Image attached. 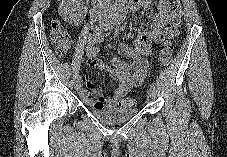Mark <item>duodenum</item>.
I'll return each instance as SVG.
<instances>
[{"instance_id": "410a0bca", "label": "duodenum", "mask_w": 227, "mask_h": 157, "mask_svg": "<svg viewBox=\"0 0 227 157\" xmlns=\"http://www.w3.org/2000/svg\"><path fill=\"white\" fill-rule=\"evenodd\" d=\"M138 9V0H131L128 4L127 8L124 10V12L121 15H116L114 18L115 23H121L124 22L125 19L135 13Z\"/></svg>"}]
</instances>
